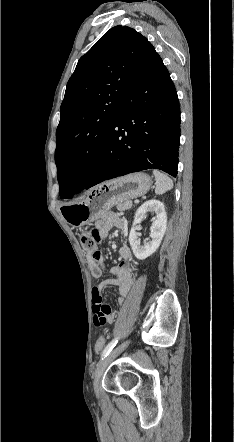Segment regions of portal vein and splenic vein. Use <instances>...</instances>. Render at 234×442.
I'll use <instances>...</instances> for the list:
<instances>
[{
    "label": "portal vein and splenic vein",
    "instance_id": "portal-vein-and-splenic-vein-1",
    "mask_svg": "<svg viewBox=\"0 0 234 442\" xmlns=\"http://www.w3.org/2000/svg\"><path fill=\"white\" fill-rule=\"evenodd\" d=\"M138 202H139L138 200L135 201V203H138Z\"/></svg>",
    "mask_w": 234,
    "mask_h": 442
}]
</instances>
